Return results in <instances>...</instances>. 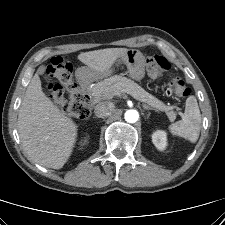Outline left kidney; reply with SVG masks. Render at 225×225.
Wrapping results in <instances>:
<instances>
[{"label":"left kidney","instance_id":"1","mask_svg":"<svg viewBox=\"0 0 225 225\" xmlns=\"http://www.w3.org/2000/svg\"><path fill=\"white\" fill-rule=\"evenodd\" d=\"M152 142L159 150H164L167 145V137L164 131H156L152 135Z\"/></svg>","mask_w":225,"mask_h":225}]
</instances>
